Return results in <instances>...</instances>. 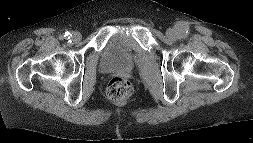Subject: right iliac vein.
<instances>
[{
  "mask_svg": "<svg viewBox=\"0 0 253 143\" xmlns=\"http://www.w3.org/2000/svg\"><path fill=\"white\" fill-rule=\"evenodd\" d=\"M71 38L73 41L78 42L81 40L82 36L79 32H73Z\"/></svg>",
  "mask_w": 253,
  "mask_h": 143,
  "instance_id": "obj_1",
  "label": "right iliac vein"
}]
</instances>
